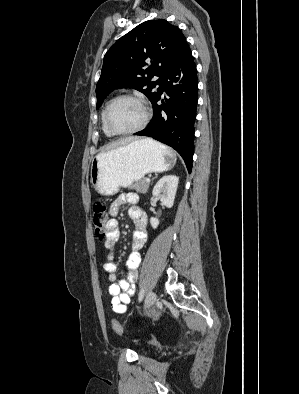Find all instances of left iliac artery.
<instances>
[{
	"label": "left iliac artery",
	"mask_w": 299,
	"mask_h": 394,
	"mask_svg": "<svg viewBox=\"0 0 299 394\" xmlns=\"http://www.w3.org/2000/svg\"><path fill=\"white\" fill-rule=\"evenodd\" d=\"M143 297H144V290L142 289L141 291H140V293H139V301H141L142 299H143Z\"/></svg>",
	"instance_id": "obj_1"
}]
</instances>
